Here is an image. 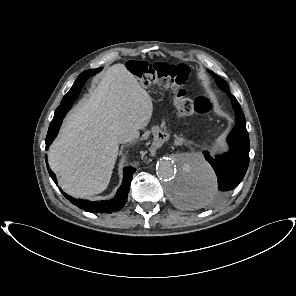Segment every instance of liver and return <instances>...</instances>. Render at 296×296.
I'll use <instances>...</instances> for the list:
<instances>
[{
  "mask_svg": "<svg viewBox=\"0 0 296 296\" xmlns=\"http://www.w3.org/2000/svg\"><path fill=\"white\" fill-rule=\"evenodd\" d=\"M152 113L151 96L136 76L123 64L109 67L67 116L49 149V165L61 188L80 198L103 192L118 156V138L129 132H137L138 138Z\"/></svg>",
  "mask_w": 296,
  "mask_h": 296,
  "instance_id": "1",
  "label": "liver"
}]
</instances>
